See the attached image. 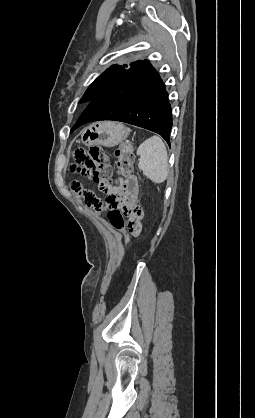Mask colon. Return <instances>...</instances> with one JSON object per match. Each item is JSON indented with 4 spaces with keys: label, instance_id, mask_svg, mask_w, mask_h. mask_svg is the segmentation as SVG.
Returning <instances> with one entry per match:
<instances>
[{
    "label": "colon",
    "instance_id": "5ec220e1",
    "mask_svg": "<svg viewBox=\"0 0 255 418\" xmlns=\"http://www.w3.org/2000/svg\"><path fill=\"white\" fill-rule=\"evenodd\" d=\"M75 171L81 172L87 176L92 182L98 185L99 189L108 194L105 203L99 201L95 195L90 191H82L78 183H74L73 188L80 192L85 199L88 206L100 211L103 208L108 210V219L118 230L126 228L127 230L133 228H143L142 218L143 211L139 205H134L128 212L126 219L121 212L119 206L122 202V196L112 190V173L108 165L107 157L102 149L93 146L89 150L82 148L76 149L73 152ZM116 165L118 174L122 177H127L132 172V165L134 162V155L132 147L128 143L120 144L115 151ZM125 242L130 243L131 239L125 235ZM124 243V250H129V245Z\"/></svg>",
    "mask_w": 255,
    "mask_h": 418
}]
</instances>
